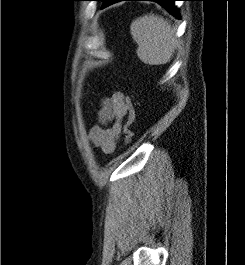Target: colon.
Segmentation results:
<instances>
[{
	"mask_svg": "<svg viewBox=\"0 0 245 265\" xmlns=\"http://www.w3.org/2000/svg\"><path fill=\"white\" fill-rule=\"evenodd\" d=\"M125 102L127 104L128 111L126 121L123 122L121 125V133L123 136L124 143L128 145L132 142L134 137V133L131 130V126L134 123L136 113L130 97L125 96Z\"/></svg>",
	"mask_w": 245,
	"mask_h": 265,
	"instance_id": "colon-1",
	"label": "colon"
}]
</instances>
